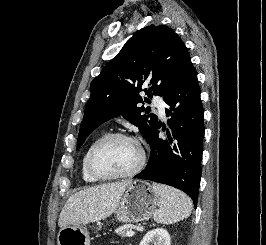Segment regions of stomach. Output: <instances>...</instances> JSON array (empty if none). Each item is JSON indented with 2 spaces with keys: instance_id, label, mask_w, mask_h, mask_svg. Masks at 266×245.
Listing matches in <instances>:
<instances>
[{
  "instance_id": "stomach-1",
  "label": "stomach",
  "mask_w": 266,
  "mask_h": 245,
  "mask_svg": "<svg viewBox=\"0 0 266 245\" xmlns=\"http://www.w3.org/2000/svg\"><path fill=\"white\" fill-rule=\"evenodd\" d=\"M158 205V197L150 183L133 181L122 195L114 215L119 223L148 221L153 217ZM97 223L99 225V221ZM57 245H90V233L81 225L62 227L58 233Z\"/></svg>"
}]
</instances>
